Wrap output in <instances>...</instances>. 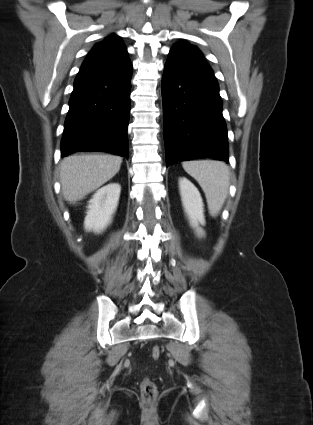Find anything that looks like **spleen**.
<instances>
[{
    "mask_svg": "<svg viewBox=\"0 0 313 425\" xmlns=\"http://www.w3.org/2000/svg\"><path fill=\"white\" fill-rule=\"evenodd\" d=\"M182 166L204 191L210 215L217 216L228 195L229 167L221 161L212 160L185 161Z\"/></svg>",
    "mask_w": 313,
    "mask_h": 425,
    "instance_id": "3e777b00",
    "label": "spleen"
}]
</instances>
